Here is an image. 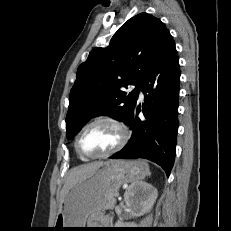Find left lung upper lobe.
I'll return each mask as SVG.
<instances>
[{
  "label": "left lung upper lobe",
  "instance_id": "1",
  "mask_svg": "<svg viewBox=\"0 0 231 231\" xmlns=\"http://www.w3.org/2000/svg\"><path fill=\"white\" fill-rule=\"evenodd\" d=\"M169 30L164 23L140 13L129 19L106 48H94L77 70L69 96L66 137L71 139L92 117L110 115L127 123L138 99L141 78ZM135 85L130 93L125 88Z\"/></svg>",
  "mask_w": 231,
  "mask_h": 231
}]
</instances>
